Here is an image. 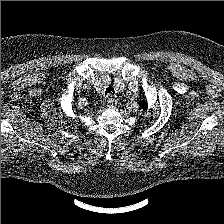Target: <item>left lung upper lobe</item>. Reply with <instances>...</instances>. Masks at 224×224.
Returning a JSON list of instances; mask_svg holds the SVG:
<instances>
[{
  "mask_svg": "<svg viewBox=\"0 0 224 224\" xmlns=\"http://www.w3.org/2000/svg\"><path fill=\"white\" fill-rule=\"evenodd\" d=\"M140 107H141L144 111H146L147 108H148V104H147V102H146V101H143L142 103H140Z\"/></svg>",
  "mask_w": 224,
  "mask_h": 224,
  "instance_id": "5c2ea615",
  "label": "left lung upper lobe"
}]
</instances>
